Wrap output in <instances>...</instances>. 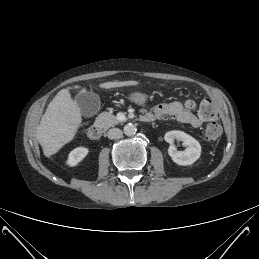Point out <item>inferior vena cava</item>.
Here are the masks:
<instances>
[{
    "instance_id": "obj_1",
    "label": "inferior vena cava",
    "mask_w": 259,
    "mask_h": 259,
    "mask_svg": "<svg viewBox=\"0 0 259 259\" xmlns=\"http://www.w3.org/2000/svg\"><path fill=\"white\" fill-rule=\"evenodd\" d=\"M122 135H123V132L119 128H112L107 133V136L109 139H118V138H121Z\"/></svg>"
}]
</instances>
